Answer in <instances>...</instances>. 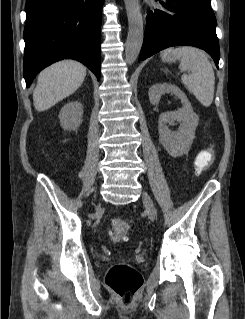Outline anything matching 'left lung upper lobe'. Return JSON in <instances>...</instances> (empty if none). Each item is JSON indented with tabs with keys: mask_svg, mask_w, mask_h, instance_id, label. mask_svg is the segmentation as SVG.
<instances>
[{
	"mask_svg": "<svg viewBox=\"0 0 245 319\" xmlns=\"http://www.w3.org/2000/svg\"><path fill=\"white\" fill-rule=\"evenodd\" d=\"M200 1L205 2V3H208V4L211 3V0H200Z\"/></svg>",
	"mask_w": 245,
	"mask_h": 319,
	"instance_id": "left-lung-upper-lobe-1",
	"label": "left lung upper lobe"
}]
</instances>
